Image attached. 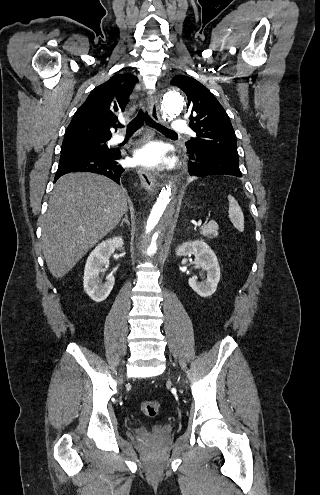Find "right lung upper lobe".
Listing matches in <instances>:
<instances>
[{"label":"right lung upper lobe","instance_id":"1","mask_svg":"<svg viewBox=\"0 0 320 495\" xmlns=\"http://www.w3.org/2000/svg\"><path fill=\"white\" fill-rule=\"evenodd\" d=\"M138 78L116 74L95 87L75 112L64 141L83 138H111L110 128L118 122L116 114L124 111Z\"/></svg>","mask_w":320,"mask_h":495}]
</instances>
